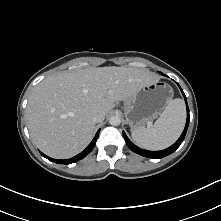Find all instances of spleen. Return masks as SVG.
Here are the masks:
<instances>
[{
	"instance_id": "obj_1",
	"label": "spleen",
	"mask_w": 221,
	"mask_h": 221,
	"mask_svg": "<svg viewBox=\"0 0 221 221\" xmlns=\"http://www.w3.org/2000/svg\"><path fill=\"white\" fill-rule=\"evenodd\" d=\"M186 120L182 99L171 100L153 125L132 131L135 143L148 150H161L174 143L180 136Z\"/></svg>"
}]
</instances>
